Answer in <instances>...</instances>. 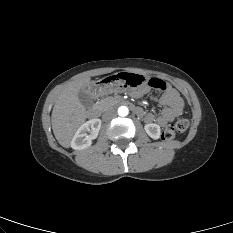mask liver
<instances>
[{
	"instance_id": "6515ba94",
	"label": "liver",
	"mask_w": 233,
	"mask_h": 233,
	"mask_svg": "<svg viewBox=\"0 0 233 233\" xmlns=\"http://www.w3.org/2000/svg\"><path fill=\"white\" fill-rule=\"evenodd\" d=\"M90 77H84L68 83L57 97L52 110L51 123L53 133L59 144L70 146L76 130L86 120V109L78 98L80 90H91ZM90 94V93H89Z\"/></svg>"
}]
</instances>
